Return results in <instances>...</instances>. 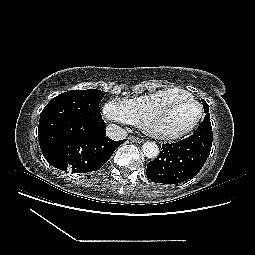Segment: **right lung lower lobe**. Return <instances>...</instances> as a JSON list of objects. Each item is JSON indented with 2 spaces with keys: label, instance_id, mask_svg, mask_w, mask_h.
<instances>
[{
  "label": "right lung lower lobe",
  "instance_id": "right-lung-lower-lobe-1",
  "mask_svg": "<svg viewBox=\"0 0 255 255\" xmlns=\"http://www.w3.org/2000/svg\"><path fill=\"white\" fill-rule=\"evenodd\" d=\"M125 140L107 138L102 120L89 126L71 128L42 153L57 169L86 173L100 169Z\"/></svg>",
  "mask_w": 255,
  "mask_h": 255
}]
</instances>
